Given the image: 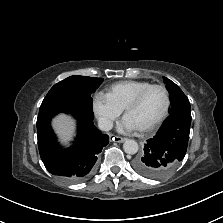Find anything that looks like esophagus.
Wrapping results in <instances>:
<instances>
[{
    "mask_svg": "<svg viewBox=\"0 0 223 223\" xmlns=\"http://www.w3.org/2000/svg\"><path fill=\"white\" fill-rule=\"evenodd\" d=\"M112 140H113L114 142L122 143V142H124V141L126 140V138H124V137H120V136H113V137H112Z\"/></svg>",
    "mask_w": 223,
    "mask_h": 223,
    "instance_id": "1",
    "label": "esophagus"
}]
</instances>
